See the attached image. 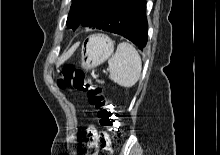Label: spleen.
<instances>
[{"mask_svg": "<svg viewBox=\"0 0 220 155\" xmlns=\"http://www.w3.org/2000/svg\"><path fill=\"white\" fill-rule=\"evenodd\" d=\"M109 78L119 86L129 88L140 78L142 63L137 50L128 42H121L108 60Z\"/></svg>", "mask_w": 220, "mask_h": 155, "instance_id": "obj_1", "label": "spleen"}]
</instances>
